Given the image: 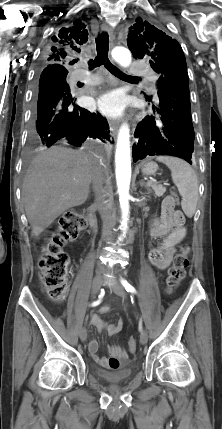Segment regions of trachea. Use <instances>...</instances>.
Instances as JSON below:
<instances>
[{
    "label": "trachea",
    "instance_id": "trachea-1",
    "mask_svg": "<svg viewBox=\"0 0 222 429\" xmlns=\"http://www.w3.org/2000/svg\"><path fill=\"white\" fill-rule=\"evenodd\" d=\"M96 49H97V56L95 60L89 61V68L93 69L95 67H98L100 65H104L105 68L114 76L120 78V79H139L135 76H129L121 72L116 66H114L109 58H108V51H109V36L106 32H102L97 38H96Z\"/></svg>",
    "mask_w": 222,
    "mask_h": 429
}]
</instances>
